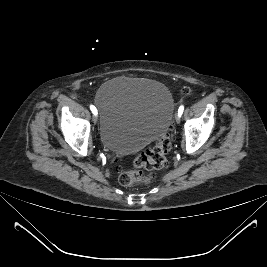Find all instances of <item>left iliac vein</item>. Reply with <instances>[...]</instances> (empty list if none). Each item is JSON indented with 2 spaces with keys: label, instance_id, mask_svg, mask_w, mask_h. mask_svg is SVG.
<instances>
[{
  "label": "left iliac vein",
  "instance_id": "left-iliac-vein-1",
  "mask_svg": "<svg viewBox=\"0 0 267 267\" xmlns=\"http://www.w3.org/2000/svg\"><path fill=\"white\" fill-rule=\"evenodd\" d=\"M176 122H177V124L180 123V116L179 115H176Z\"/></svg>",
  "mask_w": 267,
  "mask_h": 267
}]
</instances>
